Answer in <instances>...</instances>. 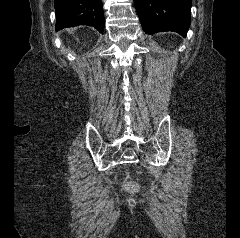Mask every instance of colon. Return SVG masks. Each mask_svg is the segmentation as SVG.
<instances>
[{"mask_svg":"<svg viewBox=\"0 0 240 238\" xmlns=\"http://www.w3.org/2000/svg\"><path fill=\"white\" fill-rule=\"evenodd\" d=\"M127 187L130 189V190H135L137 188V186L135 184H127Z\"/></svg>","mask_w":240,"mask_h":238,"instance_id":"obj_1","label":"colon"}]
</instances>
